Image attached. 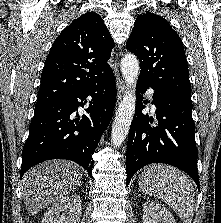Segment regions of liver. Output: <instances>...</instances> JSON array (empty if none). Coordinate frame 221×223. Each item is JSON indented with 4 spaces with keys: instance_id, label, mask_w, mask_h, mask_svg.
I'll return each mask as SVG.
<instances>
[{
    "instance_id": "1",
    "label": "liver",
    "mask_w": 221,
    "mask_h": 223,
    "mask_svg": "<svg viewBox=\"0 0 221 223\" xmlns=\"http://www.w3.org/2000/svg\"><path fill=\"white\" fill-rule=\"evenodd\" d=\"M79 166L71 161L51 160L34 166L22 179V198L29 215L74 192L81 183Z\"/></svg>"
}]
</instances>
